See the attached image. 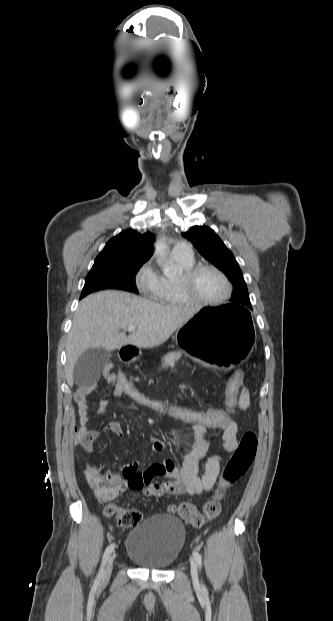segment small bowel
Listing matches in <instances>:
<instances>
[{"label": "small bowel", "mask_w": 333, "mask_h": 621, "mask_svg": "<svg viewBox=\"0 0 333 621\" xmlns=\"http://www.w3.org/2000/svg\"><path fill=\"white\" fill-rule=\"evenodd\" d=\"M113 385L115 397H121L122 392L117 387L113 376H107ZM96 389L94 384L82 385L75 393V401L78 406V419L80 427L76 434L77 443L87 451H90L95 442L99 439L102 431L89 430V404L88 398ZM108 401L102 400L97 407V413L103 414ZM249 405V393L246 388H242L238 408L244 410ZM223 430V453L233 452L238 445L237 434L238 424L235 419L229 421ZM194 439L185 452L183 463L177 467L172 458H163L146 469L140 470L143 459L134 460L121 466L122 475L107 472V476L115 481L117 490L114 498L128 489L142 492L149 497H163L168 495H202L213 488L220 474V465L223 459L222 454H214L207 458L204 471L199 472L200 462L204 459L209 447L207 430L205 426L192 425ZM103 431L110 432L116 436L123 434L122 426L118 421H110ZM165 448V444L157 437L150 438L149 454H160Z\"/></svg>", "instance_id": "c3829d8e"}]
</instances>
